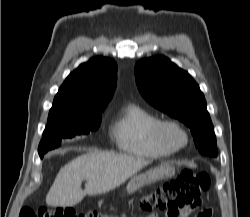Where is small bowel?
<instances>
[{"instance_id":"small-bowel-1","label":"small bowel","mask_w":250,"mask_h":217,"mask_svg":"<svg viewBox=\"0 0 250 217\" xmlns=\"http://www.w3.org/2000/svg\"><path fill=\"white\" fill-rule=\"evenodd\" d=\"M197 208H191V209H187L184 211V214H190L192 212H194ZM200 217H208V215L206 214H201L199 215ZM149 217H158L157 214L153 213L151 214ZM176 217H181L180 214H178Z\"/></svg>"}]
</instances>
